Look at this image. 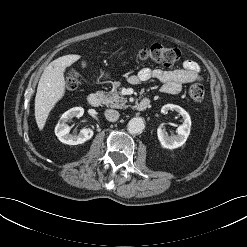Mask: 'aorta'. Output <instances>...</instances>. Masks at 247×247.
Returning a JSON list of instances; mask_svg holds the SVG:
<instances>
[{
  "label": "aorta",
  "mask_w": 247,
  "mask_h": 247,
  "mask_svg": "<svg viewBox=\"0 0 247 247\" xmlns=\"http://www.w3.org/2000/svg\"><path fill=\"white\" fill-rule=\"evenodd\" d=\"M128 131L131 134H139L145 128V121L141 117H134L128 122Z\"/></svg>",
  "instance_id": "obj_1"
}]
</instances>
